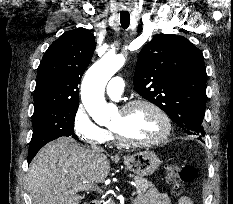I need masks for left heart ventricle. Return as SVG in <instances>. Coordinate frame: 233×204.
<instances>
[{
  "label": "left heart ventricle",
  "instance_id": "left-heart-ventricle-1",
  "mask_svg": "<svg viewBox=\"0 0 233 204\" xmlns=\"http://www.w3.org/2000/svg\"><path fill=\"white\" fill-rule=\"evenodd\" d=\"M111 128L132 141H148L159 136L163 123L158 115L145 106H138L123 113L120 110L114 117Z\"/></svg>",
  "mask_w": 233,
  "mask_h": 204
}]
</instances>
